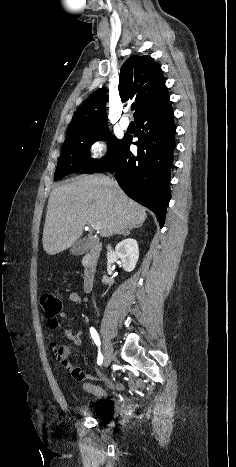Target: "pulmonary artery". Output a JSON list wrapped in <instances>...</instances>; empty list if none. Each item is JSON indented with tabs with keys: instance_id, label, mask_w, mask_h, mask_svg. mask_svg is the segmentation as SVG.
<instances>
[{
	"instance_id": "obj_1",
	"label": "pulmonary artery",
	"mask_w": 236,
	"mask_h": 467,
	"mask_svg": "<svg viewBox=\"0 0 236 467\" xmlns=\"http://www.w3.org/2000/svg\"><path fill=\"white\" fill-rule=\"evenodd\" d=\"M121 128L127 129L130 125V121L127 117H122L119 121Z\"/></svg>"
}]
</instances>
